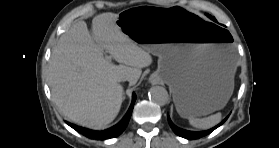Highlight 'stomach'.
<instances>
[{
    "label": "stomach",
    "mask_w": 279,
    "mask_h": 148,
    "mask_svg": "<svg viewBox=\"0 0 279 148\" xmlns=\"http://www.w3.org/2000/svg\"><path fill=\"white\" fill-rule=\"evenodd\" d=\"M116 24L159 57L154 76L169 85L181 117L208 115L226 105L236 60L231 39L218 26L179 6L147 3L127 7Z\"/></svg>",
    "instance_id": "0dacf381"
}]
</instances>
